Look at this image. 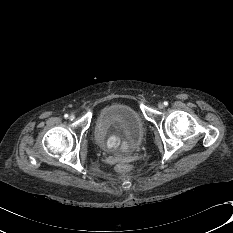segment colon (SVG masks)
I'll use <instances>...</instances> for the list:
<instances>
[{
    "label": "colon",
    "mask_w": 233,
    "mask_h": 233,
    "mask_svg": "<svg viewBox=\"0 0 233 233\" xmlns=\"http://www.w3.org/2000/svg\"><path fill=\"white\" fill-rule=\"evenodd\" d=\"M117 170L120 172H125L127 171V167L125 165H118Z\"/></svg>",
    "instance_id": "obj_1"
}]
</instances>
